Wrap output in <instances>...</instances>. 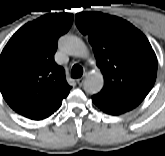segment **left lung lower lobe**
Wrapping results in <instances>:
<instances>
[{
	"label": "left lung lower lobe",
	"mask_w": 165,
	"mask_h": 156,
	"mask_svg": "<svg viewBox=\"0 0 165 156\" xmlns=\"http://www.w3.org/2000/svg\"><path fill=\"white\" fill-rule=\"evenodd\" d=\"M92 101L99 109L110 115H120L127 112L122 108L108 102L97 94L92 96Z\"/></svg>",
	"instance_id": "1"
}]
</instances>
